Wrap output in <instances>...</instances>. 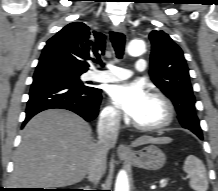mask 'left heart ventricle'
Returning a JSON list of instances; mask_svg holds the SVG:
<instances>
[{
	"label": "left heart ventricle",
	"instance_id": "left-heart-ventricle-1",
	"mask_svg": "<svg viewBox=\"0 0 218 191\" xmlns=\"http://www.w3.org/2000/svg\"><path fill=\"white\" fill-rule=\"evenodd\" d=\"M165 116L164 105L159 100L149 96L135 121L141 125H156L161 123Z\"/></svg>",
	"mask_w": 218,
	"mask_h": 191
}]
</instances>
